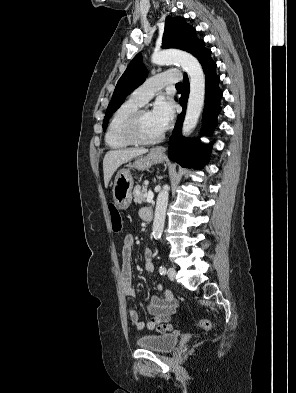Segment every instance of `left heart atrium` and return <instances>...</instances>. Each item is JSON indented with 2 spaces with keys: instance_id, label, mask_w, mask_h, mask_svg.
<instances>
[{
  "instance_id": "39dd6f15",
  "label": "left heart atrium",
  "mask_w": 296,
  "mask_h": 393,
  "mask_svg": "<svg viewBox=\"0 0 296 393\" xmlns=\"http://www.w3.org/2000/svg\"><path fill=\"white\" fill-rule=\"evenodd\" d=\"M151 115L158 130L161 133L164 132L170 126L174 116L172 103L166 99L157 101L151 111Z\"/></svg>"
}]
</instances>
